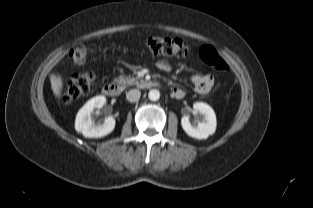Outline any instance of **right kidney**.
<instances>
[{
	"mask_svg": "<svg viewBox=\"0 0 313 208\" xmlns=\"http://www.w3.org/2000/svg\"><path fill=\"white\" fill-rule=\"evenodd\" d=\"M106 98L102 95L90 99L77 113L75 130L87 138H100L110 134L115 128V119L108 116L102 125H96L91 114L95 108H102Z\"/></svg>",
	"mask_w": 313,
	"mask_h": 208,
	"instance_id": "right-kidney-1",
	"label": "right kidney"
}]
</instances>
